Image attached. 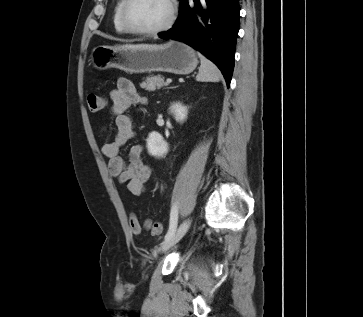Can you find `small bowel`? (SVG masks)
<instances>
[{
	"label": "small bowel",
	"instance_id": "1",
	"mask_svg": "<svg viewBox=\"0 0 363 317\" xmlns=\"http://www.w3.org/2000/svg\"><path fill=\"white\" fill-rule=\"evenodd\" d=\"M110 99L112 111L116 115L115 125L112 140L103 145L102 151L109 159L108 169L111 176L126 185L132 194L141 195L145 192L152 173L151 167L143 161L144 148L141 145L132 146L128 162L120 155V150L135 136L134 122L125 111L131 106L144 104L145 98L137 92L130 80L122 78L110 92ZM101 131L107 134L109 129L103 126Z\"/></svg>",
	"mask_w": 363,
	"mask_h": 317
}]
</instances>
